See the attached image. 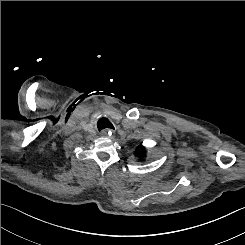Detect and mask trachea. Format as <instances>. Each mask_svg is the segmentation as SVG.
Returning a JSON list of instances; mask_svg holds the SVG:
<instances>
[{
	"label": "trachea",
	"mask_w": 245,
	"mask_h": 245,
	"mask_svg": "<svg viewBox=\"0 0 245 245\" xmlns=\"http://www.w3.org/2000/svg\"><path fill=\"white\" fill-rule=\"evenodd\" d=\"M97 128L101 131L103 129H114V126L107 118L102 117L97 122Z\"/></svg>",
	"instance_id": "3493384b"
}]
</instances>
